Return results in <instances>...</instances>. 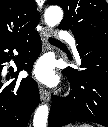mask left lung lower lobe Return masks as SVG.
<instances>
[{"mask_svg":"<svg viewBox=\"0 0 108 127\" xmlns=\"http://www.w3.org/2000/svg\"><path fill=\"white\" fill-rule=\"evenodd\" d=\"M82 71H62L71 84L65 98L52 96L49 127L76 121H90L108 127V44L79 50Z\"/></svg>","mask_w":108,"mask_h":127,"instance_id":"obj_1","label":"left lung lower lobe"}]
</instances>
